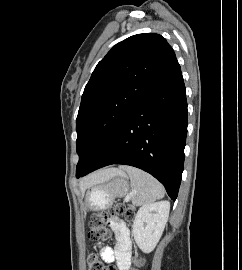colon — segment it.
Returning <instances> with one entry per match:
<instances>
[{"label": "colon", "mask_w": 242, "mask_h": 270, "mask_svg": "<svg viewBox=\"0 0 242 270\" xmlns=\"http://www.w3.org/2000/svg\"><path fill=\"white\" fill-rule=\"evenodd\" d=\"M113 216H122L126 219H132L134 212L122 203H117L113 208L103 209L91 216L90 231L88 238L94 242H103L110 239L108 221ZM88 270H115L112 265H106L102 262L96 253H90L87 257ZM138 266L143 264L142 260L137 261Z\"/></svg>", "instance_id": "colon-1"}]
</instances>
